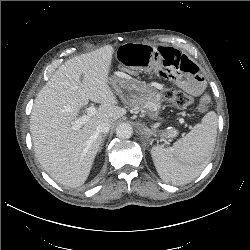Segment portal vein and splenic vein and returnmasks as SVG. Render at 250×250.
<instances>
[{
	"label": "portal vein and splenic vein",
	"mask_w": 250,
	"mask_h": 250,
	"mask_svg": "<svg viewBox=\"0 0 250 250\" xmlns=\"http://www.w3.org/2000/svg\"><path fill=\"white\" fill-rule=\"evenodd\" d=\"M96 113V108L91 105L87 108V115H84L72 122V129L78 130L81 128L89 119V117L94 116Z\"/></svg>",
	"instance_id": "18ae733b"
}]
</instances>
